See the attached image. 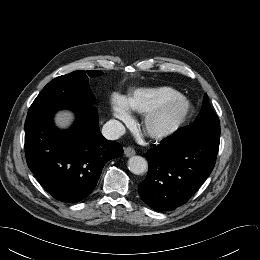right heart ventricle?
I'll use <instances>...</instances> for the list:
<instances>
[{
  "mask_svg": "<svg viewBox=\"0 0 260 260\" xmlns=\"http://www.w3.org/2000/svg\"><path fill=\"white\" fill-rule=\"evenodd\" d=\"M180 94L169 86L136 88L130 92L126 99L128 108L144 114L161 101Z\"/></svg>",
  "mask_w": 260,
  "mask_h": 260,
  "instance_id": "1",
  "label": "right heart ventricle"
}]
</instances>
